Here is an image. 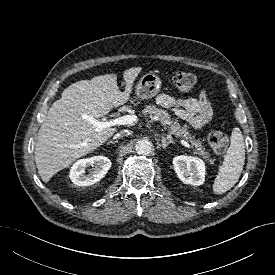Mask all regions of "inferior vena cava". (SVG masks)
<instances>
[{"mask_svg": "<svg viewBox=\"0 0 275 275\" xmlns=\"http://www.w3.org/2000/svg\"><path fill=\"white\" fill-rule=\"evenodd\" d=\"M132 132L129 130H121L119 133H117L114 138L124 137L126 135H130Z\"/></svg>", "mask_w": 275, "mask_h": 275, "instance_id": "602c4592", "label": "inferior vena cava"}]
</instances>
